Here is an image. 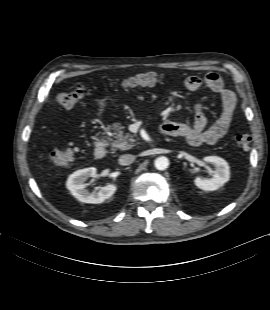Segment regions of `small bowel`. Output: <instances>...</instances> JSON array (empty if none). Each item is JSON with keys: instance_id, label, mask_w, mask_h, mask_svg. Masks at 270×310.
Segmentation results:
<instances>
[{"instance_id": "small-bowel-1", "label": "small bowel", "mask_w": 270, "mask_h": 310, "mask_svg": "<svg viewBox=\"0 0 270 310\" xmlns=\"http://www.w3.org/2000/svg\"><path fill=\"white\" fill-rule=\"evenodd\" d=\"M184 86L193 92L207 87L211 92L217 94L222 103L220 115L211 126L207 127L202 108L197 106L195 118L191 124L166 122L162 126L163 132L169 136L183 137L192 146L216 144L226 135L232 123L236 108L234 93L226 88L222 78L215 72H210L203 78L188 76L184 80Z\"/></svg>"}]
</instances>
